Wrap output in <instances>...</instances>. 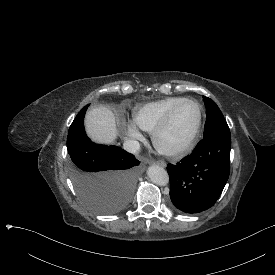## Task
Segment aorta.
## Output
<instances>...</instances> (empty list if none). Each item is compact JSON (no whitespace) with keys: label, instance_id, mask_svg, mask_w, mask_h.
<instances>
[{"label":"aorta","instance_id":"aorta-1","mask_svg":"<svg viewBox=\"0 0 275 275\" xmlns=\"http://www.w3.org/2000/svg\"><path fill=\"white\" fill-rule=\"evenodd\" d=\"M146 174L150 178V180L155 184L165 185L168 182L167 172L160 165L152 164L148 166Z\"/></svg>","mask_w":275,"mask_h":275}]
</instances>
